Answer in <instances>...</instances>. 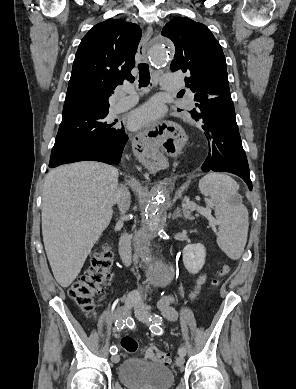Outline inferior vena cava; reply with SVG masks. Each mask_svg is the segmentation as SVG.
Masks as SVG:
<instances>
[{
    "mask_svg": "<svg viewBox=\"0 0 296 389\" xmlns=\"http://www.w3.org/2000/svg\"><path fill=\"white\" fill-rule=\"evenodd\" d=\"M115 202L118 205L121 215L125 214V212L129 209L130 193L124 185H121L120 187L117 188L115 193ZM130 243L131 240L127 234L121 236L120 254H121L122 261L126 266H129L131 263ZM130 297L135 300H140V294L137 291L131 292Z\"/></svg>",
    "mask_w": 296,
    "mask_h": 389,
    "instance_id": "obj_1",
    "label": "inferior vena cava"
}]
</instances>
